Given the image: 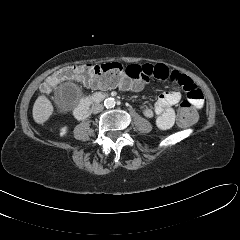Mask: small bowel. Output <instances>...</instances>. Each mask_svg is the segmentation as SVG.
Returning <instances> with one entry per match:
<instances>
[{
    "label": "small bowel",
    "mask_w": 240,
    "mask_h": 240,
    "mask_svg": "<svg viewBox=\"0 0 240 240\" xmlns=\"http://www.w3.org/2000/svg\"><path fill=\"white\" fill-rule=\"evenodd\" d=\"M128 71L137 76V80L132 85L125 87L127 89L140 90L143 84L149 81L150 78L171 80L173 89L161 93L153 108L147 105L142 107V114L146 118L156 116V126L161 130L169 129L174 123L175 106L179 103L182 97L180 90H183L186 93L187 100L192 104L195 110H199L203 107L204 97L202 91L197 87L193 80L178 71H171L164 64L145 63L142 65H130L128 66ZM88 86L102 89L111 88L108 86Z\"/></svg>",
    "instance_id": "obj_1"
}]
</instances>
